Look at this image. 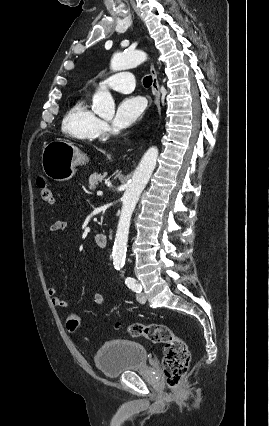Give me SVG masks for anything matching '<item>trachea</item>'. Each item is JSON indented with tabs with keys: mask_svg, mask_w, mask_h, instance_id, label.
Returning a JSON list of instances; mask_svg holds the SVG:
<instances>
[{
	"mask_svg": "<svg viewBox=\"0 0 269 426\" xmlns=\"http://www.w3.org/2000/svg\"><path fill=\"white\" fill-rule=\"evenodd\" d=\"M143 84H144L145 87H150L151 84H152V77L151 76H146L143 79Z\"/></svg>",
	"mask_w": 269,
	"mask_h": 426,
	"instance_id": "obj_1",
	"label": "trachea"
}]
</instances>
